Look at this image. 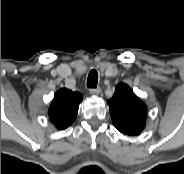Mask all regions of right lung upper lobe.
Segmentation results:
<instances>
[{
	"label": "right lung upper lobe",
	"instance_id": "obj_1",
	"mask_svg": "<svg viewBox=\"0 0 184 174\" xmlns=\"http://www.w3.org/2000/svg\"><path fill=\"white\" fill-rule=\"evenodd\" d=\"M82 99L83 97L79 92H72L66 88L55 93L48 114L56 128L63 130L75 121Z\"/></svg>",
	"mask_w": 184,
	"mask_h": 174
}]
</instances>
